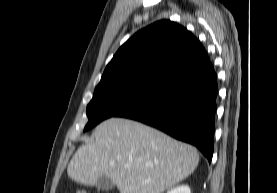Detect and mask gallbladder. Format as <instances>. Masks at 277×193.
Masks as SVG:
<instances>
[{
	"instance_id": "1",
	"label": "gallbladder",
	"mask_w": 277,
	"mask_h": 193,
	"mask_svg": "<svg viewBox=\"0 0 277 193\" xmlns=\"http://www.w3.org/2000/svg\"><path fill=\"white\" fill-rule=\"evenodd\" d=\"M96 187L102 191H109L115 187V184L108 177L102 176L97 180Z\"/></svg>"
}]
</instances>
